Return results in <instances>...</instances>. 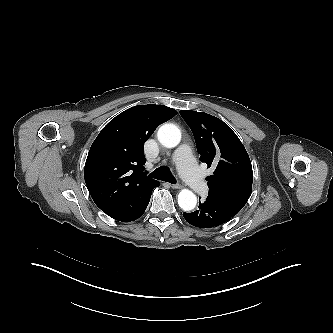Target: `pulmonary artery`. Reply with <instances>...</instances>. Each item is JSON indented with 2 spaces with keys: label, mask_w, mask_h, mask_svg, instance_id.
Masks as SVG:
<instances>
[{
  "label": "pulmonary artery",
  "mask_w": 333,
  "mask_h": 333,
  "mask_svg": "<svg viewBox=\"0 0 333 333\" xmlns=\"http://www.w3.org/2000/svg\"><path fill=\"white\" fill-rule=\"evenodd\" d=\"M173 160L190 187L198 194L206 193L207 185L195 163L191 148L188 145H181L174 152Z\"/></svg>",
  "instance_id": "pulmonary-artery-1"
}]
</instances>
